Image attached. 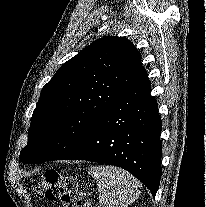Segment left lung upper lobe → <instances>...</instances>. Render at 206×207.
<instances>
[{
    "label": "left lung upper lobe",
    "instance_id": "5c2ea615",
    "mask_svg": "<svg viewBox=\"0 0 206 207\" xmlns=\"http://www.w3.org/2000/svg\"><path fill=\"white\" fill-rule=\"evenodd\" d=\"M143 71L140 53L123 37H103L80 51L43 87L20 160L37 164L74 153Z\"/></svg>",
    "mask_w": 206,
    "mask_h": 207
}]
</instances>
